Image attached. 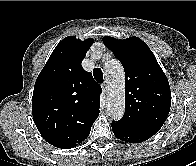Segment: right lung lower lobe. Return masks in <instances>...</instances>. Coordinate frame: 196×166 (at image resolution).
<instances>
[{
	"label": "right lung lower lobe",
	"mask_w": 196,
	"mask_h": 166,
	"mask_svg": "<svg viewBox=\"0 0 196 166\" xmlns=\"http://www.w3.org/2000/svg\"><path fill=\"white\" fill-rule=\"evenodd\" d=\"M58 148H72L70 146H59Z\"/></svg>",
	"instance_id": "1"
}]
</instances>
